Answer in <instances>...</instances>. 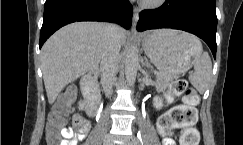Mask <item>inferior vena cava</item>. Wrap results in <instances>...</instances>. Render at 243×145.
<instances>
[{
	"label": "inferior vena cava",
	"mask_w": 243,
	"mask_h": 145,
	"mask_svg": "<svg viewBox=\"0 0 243 145\" xmlns=\"http://www.w3.org/2000/svg\"><path fill=\"white\" fill-rule=\"evenodd\" d=\"M120 28L115 24H108L106 28V42L100 64L101 84L106 96L112 94V87L118 71L120 40Z\"/></svg>",
	"instance_id": "602c4592"
}]
</instances>
